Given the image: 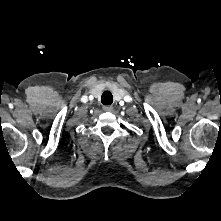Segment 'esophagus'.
<instances>
[{
	"mask_svg": "<svg viewBox=\"0 0 221 221\" xmlns=\"http://www.w3.org/2000/svg\"><path fill=\"white\" fill-rule=\"evenodd\" d=\"M103 110L106 112H111L113 110V107L110 105H106V106H103Z\"/></svg>",
	"mask_w": 221,
	"mask_h": 221,
	"instance_id": "1",
	"label": "esophagus"
}]
</instances>
